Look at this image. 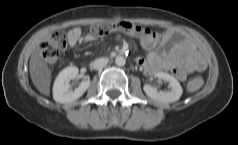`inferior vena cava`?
Wrapping results in <instances>:
<instances>
[{
    "instance_id": "inferior-vena-cava-1",
    "label": "inferior vena cava",
    "mask_w": 238,
    "mask_h": 145,
    "mask_svg": "<svg viewBox=\"0 0 238 145\" xmlns=\"http://www.w3.org/2000/svg\"><path fill=\"white\" fill-rule=\"evenodd\" d=\"M107 63H108V58H105V57L98 58L92 62V67L96 70H99L105 67Z\"/></svg>"
}]
</instances>
